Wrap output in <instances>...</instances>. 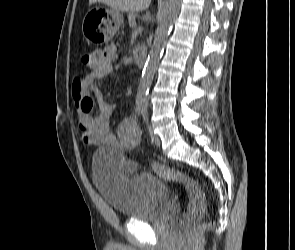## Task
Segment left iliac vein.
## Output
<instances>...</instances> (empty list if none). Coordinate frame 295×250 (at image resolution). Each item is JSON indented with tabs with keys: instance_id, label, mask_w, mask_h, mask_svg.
<instances>
[{
	"instance_id": "1",
	"label": "left iliac vein",
	"mask_w": 295,
	"mask_h": 250,
	"mask_svg": "<svg viewBox=\"0 0 295 250\" xmlns=\"http://www.w3.org/2000/svg\"><path fill=\"white\" fill-rule=\"evenodd\" d=\"M147 129H148V133H149V136L151 138L152 143L155 146L160 147L161 146V140H160L159 136L154 133L153 127L151 125H148Z\"/></svg>"
}]
</instances>
